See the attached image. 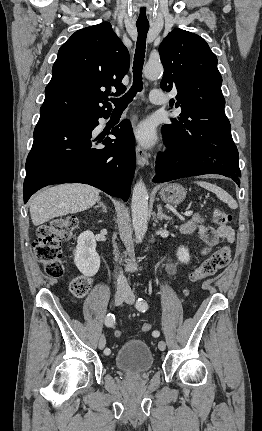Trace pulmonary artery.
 <instances>
[{
  "label": "pulmonary artery",
  "instance_id": "pulmonary-artery-1",
  "mask_svg": "<svg viewBox=\"0 0 262 431\" xmlns=\"http://www.w3.org/2000/svg\"><path fill=\"white\" fill-rule=\"evenodd\" d=\"M150 101L155 105H162L165 103L164 93L159 89H153L150 93Z\"/></svg>",
  "mask_w": 262,
  "mask_h": 431
}]
</instances>
